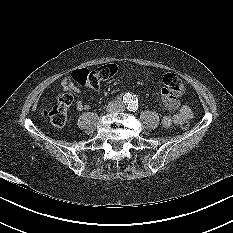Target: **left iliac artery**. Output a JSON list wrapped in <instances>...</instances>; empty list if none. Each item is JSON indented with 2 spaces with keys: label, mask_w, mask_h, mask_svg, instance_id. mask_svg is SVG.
Listing matches in <instances>:
<instances>
[{
  "label": "left iliac artery",
  "mask_w": 233,
  "mask_h": 233,
  "mask_svg": "<svg viewBox=\"0 0 233 233\" xmlns=\"http://www.w3.org/2000/svg\"><path fill=\"white\" fill-rule=\"evenodd\" d=\"M138 108V104L135 101H131V104L128 105V109L132 112H135Z\"/></svg>",
  "instance_id": "obj_1"
}]
</instances>
